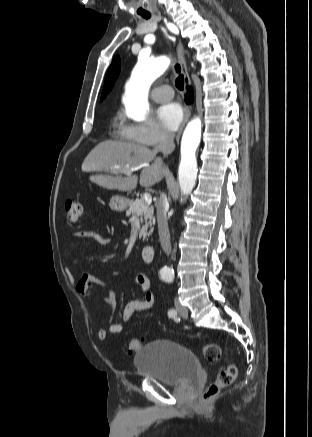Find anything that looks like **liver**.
Instances as JSON below:
<instances>
[{
  "label": "liver",
  "mask_w": 312,
  "mask_h": 437,
  "mask_svg": "<svg viewBox=\"0 0 312 437\" xmlns=\"http://www.w3.org/2000/svg\"><path fill=\"white\" fill-rule=\"evenodd\" d=\"M157 152L146 146L119 141L99 143L86 157L82 165L85 172H109L115 176L92 175L90 181L108 190L130 191L137 187L138 176L127 172L143 168L139 182L143 187H150L160 182L164 176L162 159ZM117 167V169H113ZM131 171V172H133ZM122 174L125 176L122 177Z\"/></svg>",
  "instance_id": "1"
}]
</instances>
